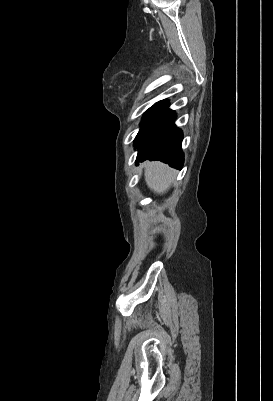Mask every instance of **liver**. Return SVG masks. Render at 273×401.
<instances>
[{
  "label": "liver",
  "instance_id": "1",
  "mask_svg": "<svg viewBox=\"0 0 273 401\" xmlns=\"http://www.w3.org/2000/svg\"><path fill=\"white\" fill-rule=\"evenodd\" d=\"M144 166V176L149 188L158 194L166 192L175 178L176 170L163 162H146Z\"/></svg>",
  "mask_w": 273,
  "mask_h": 401
}]
</instances>
